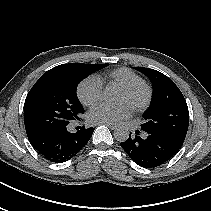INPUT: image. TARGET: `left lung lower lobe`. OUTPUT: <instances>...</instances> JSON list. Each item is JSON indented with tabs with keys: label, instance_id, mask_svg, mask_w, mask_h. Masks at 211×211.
<instances>
[{
	"label": "left lung lower lobe",
	"instance_id": "obj_1",
	"mask_svg": "<svg viewBox=\"0 0 211 211\" xmlns=\"http://www.w3.org/2000/svg\"><path fill=\"white\" fill-rule=\"evenodd\" d=\"M124 151L139 166L153 168L160 166L172 158L181 147L154 133H148L147 138L129 136L120 143Z\"/></svg>",
	"mask_w": 211,
	"mask_h": 211
}]
</instances>
